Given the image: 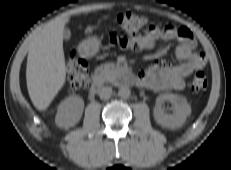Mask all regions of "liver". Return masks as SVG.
<instances>
[{
  "label": "liver",
  "mask_w": 231,
  "mask_h": 170,
  "mask_svg": "<svg viewBox=\"0 0 231 170\" xmlns=\"http://www.w3.org/2000/svg\"><path fill=\"white\" fill-rule=\"evenodd\" d=\"M69 18H56L32 41L27 57V89L38 110L48 108L66 80L63 31Z\"/></svg>",
  "instance_id": "obj_1"
}]
</instances>
